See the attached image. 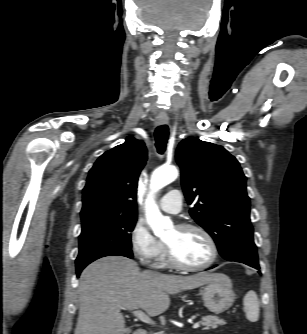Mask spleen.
I'll list each match as a JSON object with an SVG mask.
<instances>
[{
    "mask_svg": "<svg viewBox=\"0 0 307 334\" xmlns=\"http://www.w3.org/2000/svg\"><path fill=\"white\" fill-rule=\"evenodd\" d=\"M243 303L247 319L256 322L259 318V300L255 291H248L244 296Z\"/></svg>",
    "mask_w": 307,
    "mask_h": 334,
    "instance_id": "3e777b00",
    "label": "spleen"
}]
</instances>
